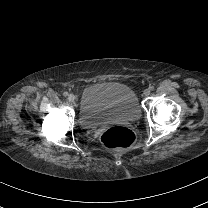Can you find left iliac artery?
I'll use <instances>...</instances> for the list:
<instances>
[{"label": "left iliac artery", "mask_w": 208, "mask_h": 208, "mask_svg": "<svg viewBox=\"0 0 208 208\" xmlns=\"http://www.w3.org/2000/svg\"><path fill=\"white\" fill-rule=\"evenodd\" d=\"M149 89L152 91V90H154V86H149Z\"/></svg>", "instance_id": "44dca946"}]
</instances>
